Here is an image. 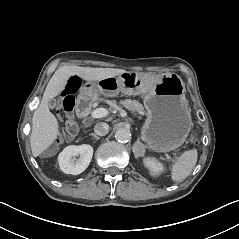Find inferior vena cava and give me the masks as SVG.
I'll return each instance as SVG.
<instances>
[{"label": "inferior vena cava", "mask_w": 239, "mask_h": 239, "mask_svg": "<svg viewBox=\"0 0 239 239\" xmlns=\"http://www.w3.org/2000/svg\"><path fill=\"white\" fill-rule=\"evenodd\" d=\"M94 131L99 136H104L109 132V125L105 122L97 123L94 127Z\"/></svg>", "instance_id": "1"}]
</instances>
